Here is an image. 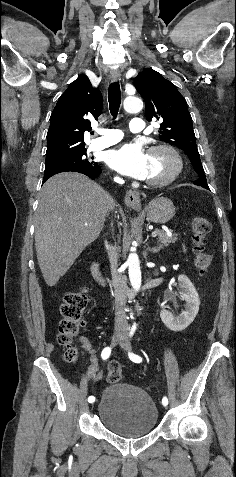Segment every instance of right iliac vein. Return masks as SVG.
<instances>
[{
	"label": "right iliac vein",
	"instance_id": "obj_1",
	"mask_svg": "<svg viewBox=\"0 0 236 477\" xmlns=\"http://www.w3.org/2000/svg\"><path fill=\"white\" fill-rule=\"evenodd\" d=\"M123 338H124L123 333H121V332L114 333V335L112 337V345L113 346L117 345L118 343H120L123 340ZM96 401H98V400L96 399ZM96 406H97L96 404L90 405V407L93 408L92 411H91V414L93 413V410H94V408H96Z\"/></svg>",
	"mask_w": 236,
	"mask_h": 477
}]
</instances>
